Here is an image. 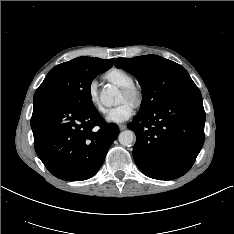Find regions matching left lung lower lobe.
<instances>
[{"mask_svg":"<svg viewBox=\"0 0 234 234\" xmlns=\"http://www.w3.org/2000/svg\"><path fill=\"white\" fill-rule=\"evenodd\" d=\"M206 114L197 87L180 93L145 114H137L133 157L140 171L154 179L183 176L195 162L205 140Z\"/></svg>","mask_w":234,"mask_h":234,"instance_id":"obj_1","label":"left lung lower lobe"}]
</instances>
